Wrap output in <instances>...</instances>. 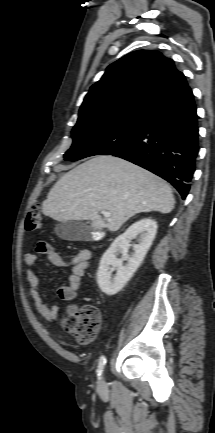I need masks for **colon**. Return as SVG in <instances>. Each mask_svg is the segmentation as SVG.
<instances>
[{"instance_id": "colon-1", "label": "colon", "mask_w": 215, "mask_h": 433, "mask_svg": "<svg viewBox=\"0 0 215 433\" xmlns=\"http://www.w3.org/2000/svg\"><path fill=\"white\" fill-rule=\"evenodd\" d=\"M43 226V218L40 205L34 203L29 209L25 228L28 232L38 231ZM100 311L91 304L82 306L72 317L63 320V327L72 332L76 340L81 344L91 342L97 335L100 327Z\"/></svg>"}]
</instances>
